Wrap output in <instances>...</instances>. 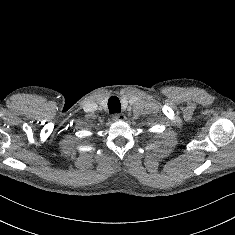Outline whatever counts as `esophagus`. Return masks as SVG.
Wrapping results in <instances>:
<instances>
[{"label": "esophagus", "instance_id": "1", "mask_svg": "<svg viewBox=\"0 0 235 235\" xmlns=\"http://www.w3.org/2000/svg\"><path fill=\"white\" fill-rule=\"evenodd\" d=\"M112 118L114 121H118V120H125L126 116L122 113H115V114H113Z\"/></svg>", "mask_w": 235, "mask_h": 235}]
</instances>
